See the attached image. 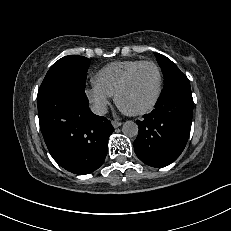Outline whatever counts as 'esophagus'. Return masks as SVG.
Listing matches in <instances>:
<instances>
[{
  "instance_id": "obj_1",
  "label": "esophagus",
  "mask_w": 231,
  "mask_h": 231,
  "mask_svg": "<svg viewBox=\"0 0 231 231\" xmlns=\"http://www.w3.org/2000/svg\"><path fill=\"white\" fill-rule=\"evenodd\" d=\"M111 123H112L114 128H118L119 126L122 125V122H119V121H116V120H113Z\"/></svg>"
}]
</instances>
